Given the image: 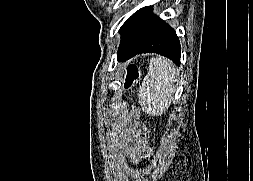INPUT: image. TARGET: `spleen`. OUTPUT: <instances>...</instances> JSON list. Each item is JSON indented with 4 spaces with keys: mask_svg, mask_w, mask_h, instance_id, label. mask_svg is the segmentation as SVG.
Wrapping results in <instances>:
<instances>
[{
    "mask_svg": "<svg viewBox=\"0 0 253 181\" xmlns=\"http://www.w3.org/2000/svg\"><path fill=\"white\" fill-rule=\"evenodd\" d=\"M174 64L164 57H152L149 72L139 90V102L143 110L153 116L165 113L170 106L177 81Z\"/></svg>",
    "mask_w": 253,
    "mask_h": 181,
    "instance_id": "1",
    "label": "spleen"
}]
</instances>
